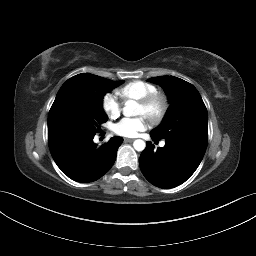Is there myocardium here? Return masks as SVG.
I'll list each match as a JSON object with an SVG mask.
<instances>
[{
	"mask_svg": "<svg viewBox=\"0 0 256 256\" xmlns=\"http://www.w3.org/2000/svg\"><path fill=\"white\" fill-rule=\"evenodd\" d=\"M138 103L146 109V117L155 124L159 123L165 117L169 109L167 97L158 91L138 100Z\"/></svg>",
	"mask_w": 256,
	"mask_h": 256,
	"instance_id": "myocardium-1",
	"label": "myocardium"
}]
</instances>
